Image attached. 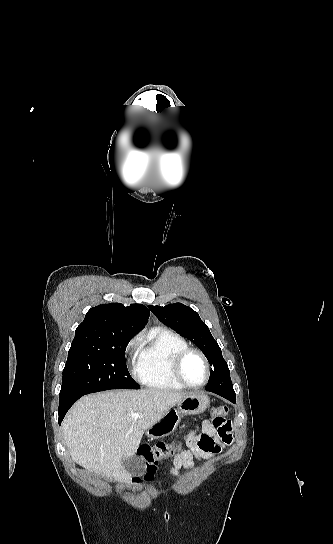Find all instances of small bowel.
<instances>
[{"mask_svg": "<svg viewBox=\"0 0 333 544\" xmlns=\"http://www.w3.org/2000/svg\"><path fill=\"white\" fill-rule=\"evenodd\" d=\"M232 423L223 417L205 420L201 432H191L186 438V449L180 450L173 458L171 473L178 476L180 470H191L194 459L206 461L220 453L222 446L233 441Z\"/></svg>", "mask_w": 333, "mask_h": 544, "instance_id": "obj_1", "label": "small bowel"}]
</instances>
